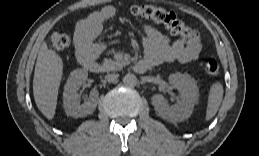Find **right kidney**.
I'll return each mask as SVG.
<instances>
[{
	"instance_id": "obj_1",
	"label": "right kidney",
	"mask_w": 259,
	"mask_h": 156,
	"mask_svg": "<svg viewBox=\"0 0 259 156\" xmlns=\"http://www.w3.org/2000/svg\"><path fill=\"white\" fill-rule=\"evenodd\" d=\"M88 73L82 69H76L70 73L63 93V105L68 116L75 118L92 114L97 106L99 92L92 90L87 101L83 104L79 102L78 90L86 82Z\"/></svg>"
}]
</instances>
